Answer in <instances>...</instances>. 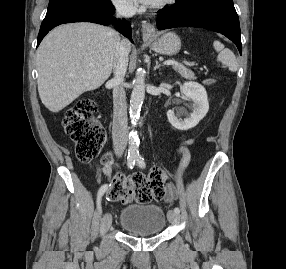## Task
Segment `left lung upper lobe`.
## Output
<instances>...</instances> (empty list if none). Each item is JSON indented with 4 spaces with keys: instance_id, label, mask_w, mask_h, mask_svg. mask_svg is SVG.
<instances>
[{
    "instance_id": "left-lung-upper-lobe-1",
    "label": "left lung upper lobe",
    "mask_w": 286,
    "mask_h": 269,
    "mask_svg": "<svg viewBox=\"0 0 286 269\" xmlns=\"http://www.w3.org/2000/svg\"><path fill=\"white\" fill-rule=\"evenodd\" d=\"M194 0H176V4L178 5H187L188 3L192 2Z\"/></svg>"
}]
</instances>
